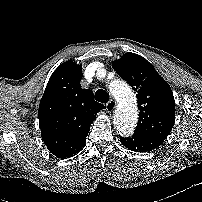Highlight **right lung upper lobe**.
<instances>
[{"label":"right lung upper lobe","mask_w":202,"mask_h":202,"mask_svg":"<svg viewBox=\"0 0 202 202\" xmlns=\"http://www.w3.org/2000/svg\"><path fill=\"white\" fill-rule=\"evenodd\" d=\"M82 66L62 63L51 75L41 98L38 119L48 150L57 158L80 152L96 114L105 106L96 102L90 89H82Z\"/></svg>","instance_id":"cb5924a9"}]
</instances>
